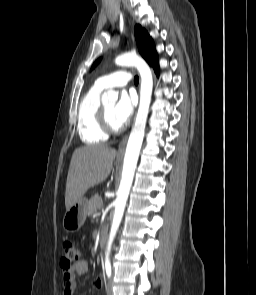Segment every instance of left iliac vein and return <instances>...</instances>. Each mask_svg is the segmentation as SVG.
I'll list each match as a JSON object with an SVG mask.
<instances>
[{"instance_id":"left-iliac-vein-1","label":"left iliac vein","mask_w":256,"mask_h":295,"mask_svg":"<svg viewBox=\"0 0 256 295\" xmlns=\"http://www.w3.org/2000/svg\"><path fill=\"white\" fill-rule=\"evenodd\" d=\"M112 287H113V282L110 280L108 282V285H107V293H108V295H113Z\"/></svg>"}]
</instances>
